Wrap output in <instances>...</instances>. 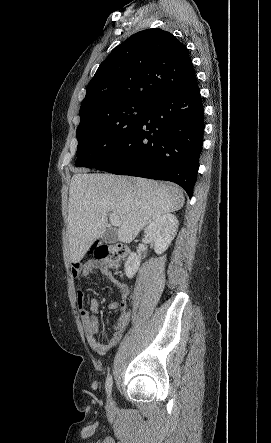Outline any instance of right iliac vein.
I'll list each match as a JSON object with an SVG mask.
<instances>
[{
	"label": "right iliac vein",
	"mask_w": 271,
	"mask_h": 443,
	"mask_svg": "<svg viewBox=\"0 0 271 443\" xmlns=\"http://www.w3.org/2000/svg\"><path fill=\"white\" fill-rule=\"evenodd\" d=\"M107 407H108L109 409L113 408V401H112V399H109V400H108V402H107Z\"/></svg>",
	"instance_id": "63e3f726"
}]
</instances>
